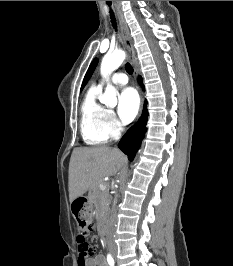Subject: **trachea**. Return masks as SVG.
Wrapping results in <instances>:
<instances>
[{"label":"trachea","mask_w":233,"mask_h":266,"mask_svg":"<svg viewBox=\"0 0 233 266\" xmlns=\"http://www.w3.org/2000/svg\"><path fill=\"white\" fill-rule=\"evenodd\" d=\"M107 4L110 6L111 2L107 1ZM110 17H111L112 26L114 27V29H117L116 19H115L112 9H110ZM125 69L127 73H129L130 75L133 74V68L129 63H126Z\"/></svg>","instance_id":"3493384b"}]
</instances>
